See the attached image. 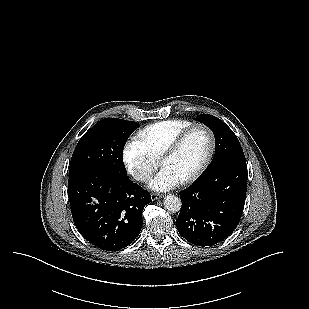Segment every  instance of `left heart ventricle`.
Wrapping results in <instances>:
<instances>
[{"instance_id": "left-heart-ventricle-1", "label": "left heart ventricle", "mask_w": 309, "mask_h": 309, "mask_svg": "<svg viewBox=\"0 0 309 309\" xmlns=\"http://www.w3.org/2000/svg\"><path fill=\"white\" fill-rule=\"evenodd\" d=\"M210 146L207 132L202 128L192 130L177 152L166 159L162 167L170 169L180 180L194 173L202 164Z\"/></svg>"}]
</instances>
